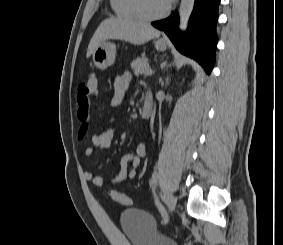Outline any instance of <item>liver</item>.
Wrapping results in <instances>:
<instances>
[{"instance_id":"obj_1","label":"liver","mask_w":283,"mask_h":245,"mask_svg":"<svg viewBox=\"0 0 283 245\" xmlns=\"http://www.w3.org/2000/svg\"><path fill=\"white\" fill-rule=\"evenodd\" d=\"M160 36V31L148 23L122 18L104 20L88 45L86 57L89 58L96 48L108 39L124 40L134 45H142Z\"/></svg>"}]
</instances>
